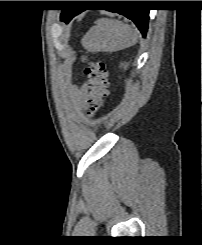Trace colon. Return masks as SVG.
Listing matches in <instances>:
<instances>
[{
    "label": "colon",
    "instance_id": "obj_1",
    "mask_svg": "<svg viewBox=\"0 0 202 245\" xmlns=\"http://www.w3.org/2000/svg\"><path fill=\"white\" fill-rule=\"evenodd\" d=\"M85 64L87 112L88 114H95L104 108L105 99L109 95L110 81L103 61L88 60Z\"/></svg>",
    "mask_w": 202,
    "mask_h": 245
}]
</instances>
